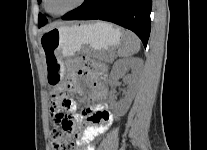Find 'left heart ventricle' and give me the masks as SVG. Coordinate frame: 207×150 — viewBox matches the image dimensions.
Returning <instances> with one entry per match:
<instances>
[{
	"instance_id": "left-heart-ventricle-1",
	"label": "left heart ventricle",
	"mask_w": 207,
	"mask_h": 150,
	"mask_svg": "<svg viewBox=\"0 0 207 150\" xmlns=\"http://www.w3.org/2000/svg\"><path fill=\"white\" fill-rule=\"evenodd\" d=\"M77 1L78 0H48L47 5L50 11L58 13L72 7Z\"/></svg>"
}]
</instances>
